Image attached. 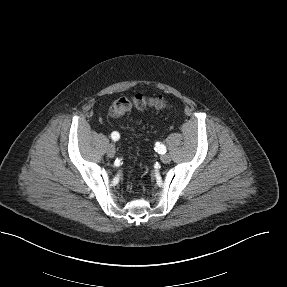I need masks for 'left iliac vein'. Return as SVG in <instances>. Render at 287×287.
I'll return each instance as SVG.
<instances>
[{"mask_svg": "<svg viewBox=\"0 0 287 287\" xmlns=\"http://www.w3.org/2000/svg\"><path fill=\"white\" fill-rule=\"evenodd\" d=\"M161 160L163 163H169L171 161V157L169 154H164L161 156Z\"/></svg>", "mask_w": 287, "mask_h": 287, "instance_id": "obj_1", "label": "left iliac vein"}]
</instances>
